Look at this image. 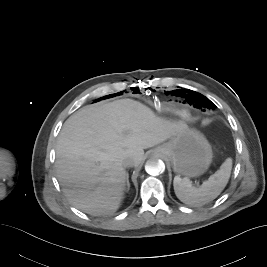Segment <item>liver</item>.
<instances>
[{
  "label": "liver",
  "mask_w": 267,
  "mask_h": 267,
  "mask_svg": "<svg viewBox=\"0 0 267 267\" xmlns=\"http://www.w3.org/2000/svg\"><path fill=\"white\" fill-rule=\"evenodd\" d=\"M187 128L131 99L79 109L65 121L57 141L55 167L63 192L88 214L116 212L126 185L123 161L131 159L139 166L144 149Z\"/></svg>",
  "instance_id": "obj_1"
}]
</instances>
